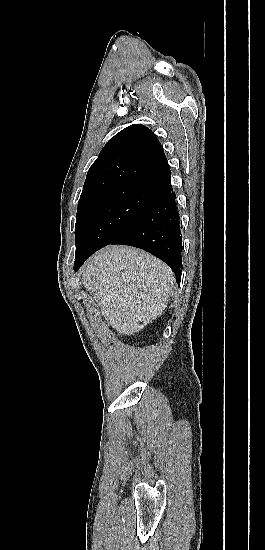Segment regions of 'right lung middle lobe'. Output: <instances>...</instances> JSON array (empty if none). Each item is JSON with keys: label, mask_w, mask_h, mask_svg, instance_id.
Masks as SVG:
<instances>
[{"label": "right lung middle lobe", "mask_w": 265, "mask_h": 550, "mask_svg": "<svg viewBox=\"0 0 265 550\" xmlns=\"http://www.w3.org/2000/svg\"><path fill=\"white\" fill-rule=\"evenodd\" d=\"M160 186L123 187L78 202L75 262L110 244L147 209Z\"/></svg>", "instance_id": "1"}]
</instances>
